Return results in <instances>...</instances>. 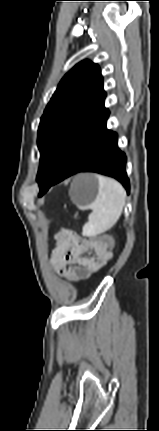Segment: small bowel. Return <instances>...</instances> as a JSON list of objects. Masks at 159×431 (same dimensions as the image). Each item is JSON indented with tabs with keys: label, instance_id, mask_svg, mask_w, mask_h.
I'll return each mask as SVG.
<instances>
[{
	"label": "small bowel",
	"instance_id": "c3829d8e",
	"mask_svg": "<svg viewBox=\"0 0 159 431\" xmlns=\"http://www.w3.org/2000/svg\"><path fill=\"white\" fill-rule=\"evenodd\" d=\"M106 240H87L69 229L55 235L51 261L59 275L71 282L88 279L111 258Z\"/></svg>",
	"mask_w": 159,
	"mask_h": 431
}]
</instances>
